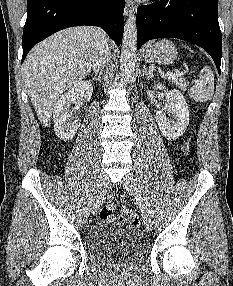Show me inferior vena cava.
<instances>
[{
    "mask_svg": "<svg viewBox=\"0 0 233 286\" xmlns=\"http://www.w3.org/2000/svg\"><path fill=\"white\" fill-rule=\"evenodd\" d=\"M107 41L108 39L106 35L103 33V38L98 44L95 53L94 64H93L94 73H98L109 62L110 48L109 45L107 44Z\"/></svg>",
    "mask_w": 233,
    "mask_h": 286,
    "instance_id": "1",
    "label": "inferior vena cava"
}]
</instances>
